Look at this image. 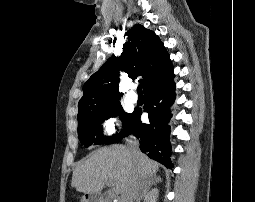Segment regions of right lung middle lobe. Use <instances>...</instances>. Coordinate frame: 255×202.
Masks as SVG:
<instances>
[{
	"instance_id": "dd1d6c3e",
	"label": "right lung middle lobe",
	"mask_w": 255,
	"mask_h": 202,
	"mask_svg": "<svg viewBox=\"0 0 255 202\" xmlns=\"http://www.w3.org/2000/svg\"><path fill=\"white\" fill-rule=\"evenodd\" d=\"M120 115L123 122V131L112 137H104L100 133L101 123L110 118ZM133 114L123 111L120 103L110 105L105 108L92 110L78 116V137L82 145L88 147L95 144H101L103 141L114 143L121 140L125 136L130 127Z\"/></svg>"
}]
</instances>
